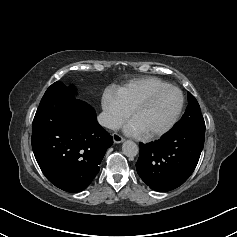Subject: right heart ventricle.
Listing matches in <instances>:
<instances>
[{"label": "right heart ventricle", "mask_w": 237, "mask_h": 237, "mask_svg": "<svg viewBox=\"0 0 237 237\" xmlns=\"http://www.w3.org/2000/svg\"><path fill=\"white\" fill-rule=\"evenodd\" d=\"M169 84L155 77H143L129 81L121 87L110 91L117 97L123 106L130 111L133 105L148 93L168 86Z\"/></svg>", "instance_id": "e07e8e85"}]
</instances>
